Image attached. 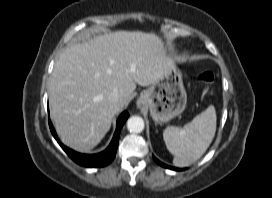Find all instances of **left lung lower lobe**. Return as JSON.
Masks as SVG:
<instances>
[{"instance_id":"obj_1","label":"left lung lower lobe","mask_w":272,"mask_h":198,"mask_svg":"<svg viewBox=\"0 0 272 198\" xmlns=\"http://www.w3.org/2000/svg\"><path fill=\"white\" fill-rule=\"evenodd\" d=\"M154 160L162 167H165V168H168V169H172V170H179L177 168H174V167H171V166H168L166 164H163L162 162H160L159 160H157L155 157H154Z\"/></svg>"}]
</instances>
